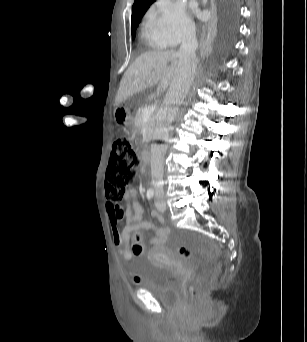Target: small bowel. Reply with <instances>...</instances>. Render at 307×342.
Wrapping results in <instances>:
<instances>
[{
	"label": "small bowel",
	"instance_id": "c3829d8e",
	"mask_svg": "<svg viewBox=\"0 0 307 342\" xmlns=\"http://www.w3.org/2000/svg\"><path fill=\"white\" fill-rule=\"evenodd\" d=\"M107 210L112 230L113 243L118 248L119 255L124 259L130 260L135 255L140 254L128 252V240L131 233H134V231L141 233V230H155V237L150 239L148 243L156 250L161 249L167 242L170 234L169 228H155L151 222L143 219V211L139 205L137 193L134 189L130 190L127 194V208L124 213H117L114 204L107 206ZM123 216L126 219V225L121 230L119 222Z\"/></svg>",
	"mask_w": 307,
	"mask_h": 342
}]
</instances>
